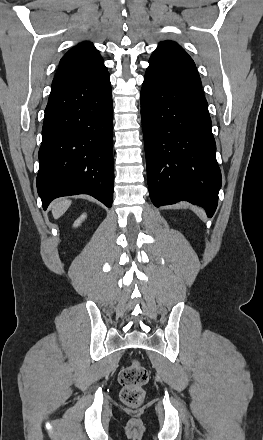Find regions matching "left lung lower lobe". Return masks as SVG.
<instances>
[{"label": "left lung lower lobe", "instance_id": "0a47b994", "mask_svg": "<svg viewBox=\"0 0 263 440\" xmlns=\"http://www.w3.org/2000/svg\"><path fill=\"white\" fill-rule=\"evenodd\" d=\"M140 100L153 204L186 200L211 217L222 182L216 144L195 63L176 42L149 60Z\"/></svg>", "mask_w": 263, "mask_h": 440}]
</instances>
